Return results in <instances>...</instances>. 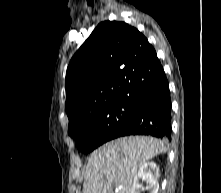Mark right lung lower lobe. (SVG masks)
Returning <instances> with one entry per match:
<instances>
[{
  "mask_svg": "<svg viewBox=\"0 0 221 193\" xmlns=\"http://www.w3.org/2000/svg\"><path fill=\"white\" fill-rule=\"evenodd\" d=\"M126 135H152L171 138V99L163 68L154 76L138 98V110L114 138Z\"/></svg>",
  "mask_w": 221,
  "mask_h": 193,
  "instance_id": "98d812e1",
  "label": "right lung lower lobe"
}]
</instances>
